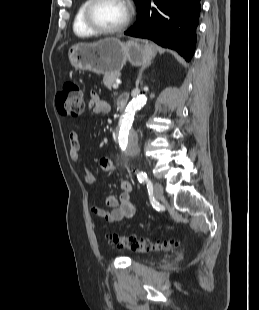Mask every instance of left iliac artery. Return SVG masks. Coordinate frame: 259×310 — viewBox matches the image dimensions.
Instances as JSON below:
<instances>
[{
	"instance_id": "left-iliac-artery-1",
	"label": "left iliac artery",
	"mask_w": 259,
	"mask_h": 310,
	"mask_svg": "<svg viewBox=\"0 0 259 310\" xmlns=\"http://www.w3.org/2000/svg\"><path fill=\"white\" fill-rule=\"evenodd\" d=\"M137 178L140 183H147L148 187H152L151 181L148 179L147 174L143 171L137 172Z\"/></svg>"
}]
</instances>
